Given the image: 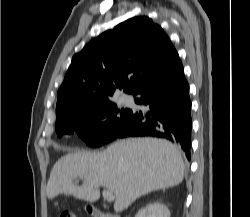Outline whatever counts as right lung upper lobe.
Wrapping results in <instances>:
<instances>
[{"label":"right lung upper lobe","instance_id":"cb5924a9","mask_svg":"<svg viewBox=\"0 0 250 217\" xmlns=\"http://www.w3.org/2000/svg\"><path fill=\"white\" fill-rule=\"evenodd\" d=\"M177 56L166 33L149 17L120 23L73 56L58 90L56 122L111 100L118 88L134 94L166 70Z\"/></svg>","mask_w":250,"mask_h":217}]
</instances>
